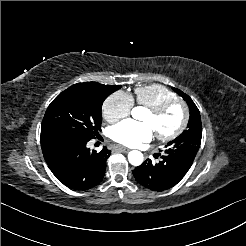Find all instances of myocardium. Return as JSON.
Returning a JSON list of instances; mask_svg holds the SVG:
<instances>
[{
    "mask_svg": "<svg viewBox=\"0 0 246 246\" xmlns=\"http://www.w3.org/2000/svg\"><path fill=\"white\" fill-rule=\"evenodd\" d=\"M180 107L182 111V116L179 124L176 126V128L167 133V134H156V137L161 142H169L177 138L186 128L188 120H189V110L185 102H183L180 99H174L169 100L167 102L162 103L161 105L154 107V108H148L147 111L153 118H158L164 115L166 112H168L173 107Z\"/></svg>",
    "mask_w": 246,
    "mask_h": 246,
    "instance_id": "obj_1",
    "label": "myocardium"
}]
</instances>
